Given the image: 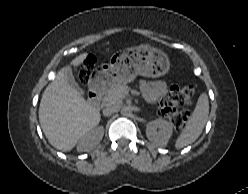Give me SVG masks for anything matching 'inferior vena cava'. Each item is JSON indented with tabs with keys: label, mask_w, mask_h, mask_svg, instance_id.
I'll return each mask as SVG.
<instances>
[{
	"label": "inferior vena cava",
	"mask_w": 248,
	"mask_h": 194,
	"mask_svg": "<svg viewBox=\"0 0 248 194\" xmlns=\"http://www.w3.org/2000/svg\"><path fill=\"white\" fill-rule=\"evenodd\" d=\"M117 111L116 106L109 105L103 109V115L104 116H111Z\"/></svg>",
	"instance_id": "602c4592"
}]
</instances>
